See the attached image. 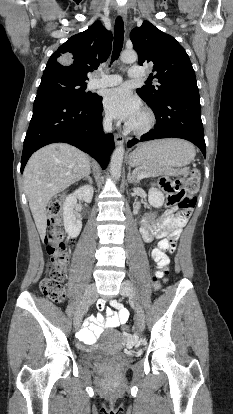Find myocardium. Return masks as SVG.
<instances>
[{
	"mask_svg": "<svg viewBox=\"0 0 233 414\" xmlns=\"http://www.w3.org/2000/svg\"><path fill=\"white\" fill-rule=\"evenodd\" d=\"M141 115L143 117V121L140 124L130 123L127 125V130L129 132L134 133L136 135H142L147 133L154 127L156 119L154 114L150 110H143L141 112Z\"/></svg>",
	"mask_w": 233,
	"mask_h": 414,
	"instance_id": "1",
	"label": "myocardium"
}]
</instances>
